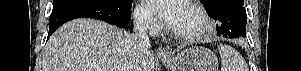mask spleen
<instances>
[{"mask_svg":"<svg viewBox=\"0 0 301 71\" xmlns=\"http://www.w3.org/2000/svg\"><path fill=\"white\" fill-rule=\"evenodd\" d=\"M221 56V71H248L244 58L231 46L220 44L217 46Z\"/></svg>","mask_w":301,"mask_h":71,"instance_id":"spleen-1","label":"spleen"}]
</instances>
